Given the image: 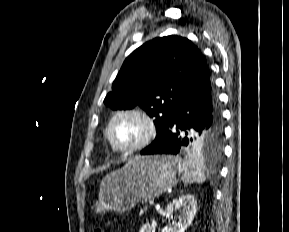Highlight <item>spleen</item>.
Masks as SVG:
<instances>
[{
	"mask_svg": "<svg viewBox=\"0 0 289 232\" xmlns=\"http://www.w3.org/2000/svg\"><path fill=\"white\" fill-rule=\"evenodd\" d=\"M178 170L182 173L181 178L184 183H203L205 181V175L200 164L191 159L179 163Z\"/></svg>",
	"mask_w": 289,
	"mask_h": 232,
	"instance_id": "1",
	"label": "spleen"
}]
</instances>
